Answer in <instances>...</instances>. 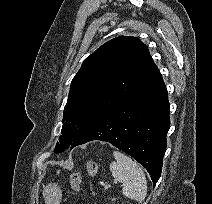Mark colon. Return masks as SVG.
<instances>
[{
	"instance_id": "1",
	"label": "colon",
	"mask_w": 212,
	"mask_h": 204,
	"mask_svg": "<svg viewBox=\"0 0 212 204\" xmlns=\"http://www.w3.org/2000/svg\"><path fill=\"white\" fill-rule=\"evenodd\" d=\"M84 168L90 176H95L98 172V165L93 160L87 161L84 165ZM81 179V171H75L70 175V185L72 189L76 192H79L81 190Z\"/></svg>"
}]
</instances>
